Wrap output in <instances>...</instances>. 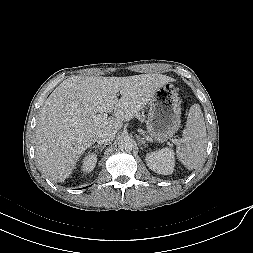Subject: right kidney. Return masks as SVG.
I'll list each match as a JSON object with an SVG mask.
<instances>
[{
    "label": "right kidney",
    "instance_id": "right-kidney-1",
    "mask_svg": "<svg viewBox=\"0 0 253 253\" xmlns=\"http://www.w3.org/2000/svg\"><path fill=\"white\" fill-rule=\"evenodd\" d=\"M96 162H97V156L93 153L91 154L88 153L82 161V166H81L82 171L84 173L91 172L95 168Z\"/></svg>",
    "mask_w": 253,
    "mask_h": 253
}]
</instances>
